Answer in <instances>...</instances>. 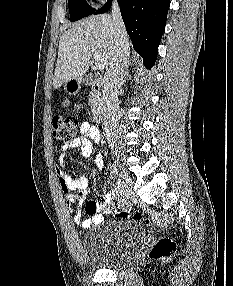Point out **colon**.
<instances>
[{
  "instance_id": "5ec220e1",
  "label": "colon",
  "mask_w": 233,
  "mask_h": 286,
  "mask_svg": "<svg viewBox=\"0 0 233 286\" xmlns=\"http://www.w3.org/2000/svg\"><path fill=\"white\" fill-rule=\"evenodd\" d=\"M79 124V118L77 115L61 116L57 115L53 118V135L60 141L70 143L75 139ZM116 215L123 218H133L135 220H145L149 223V219L146 218L140 211L127 208L123 210H116ZM176 249L175 243L169 238H161L152 247L149 252L151 259H167L174 253Z\"/></svg>"
}]
</instances>
